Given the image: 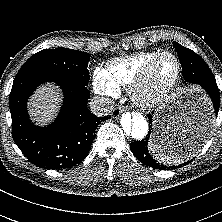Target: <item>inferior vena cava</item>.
I'll return each mask as SVG.
<instances>
[{"instance_id": "inferior-vena-cava-1", "label": "inferior vena cava", "mask_w": 222, "mask_h": 222, "mask_svg": "<svg viewBox=\"0 0 222 222\" xmlns=\"http://www.w3.org/2000/svg\"><path fill=\"white\" fill-rule=\"evenodd\" d=\"M90 109L97 116L108 115L113 110V101L110 98L94 97L90 101Z\"/></svg>"}]
</instances>
